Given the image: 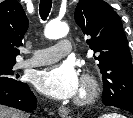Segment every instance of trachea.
<instances>
[{"label": "trachea", "instance_id": "obj_1", "mask_svg": "<svg viewBox=\"0 0 133 118\" xmlns=\"http://www.w3.org/2000/svg\"><path fill=\"white\" fill-rule=\"evenodd\" d=\"M51 7H52V0H41L40 1L39 12H40V16L42 20L47 19L50 13Z\"/></svg>", "mask_w": 133, "mask_h": 118}]
</instances>
